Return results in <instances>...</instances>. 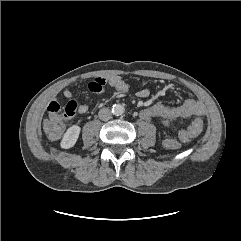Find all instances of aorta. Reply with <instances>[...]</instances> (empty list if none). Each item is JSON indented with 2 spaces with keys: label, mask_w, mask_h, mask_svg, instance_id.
Masks as SVG:
<instances>
[{
  "label": "aorta",
  "mask_w": 241,
  "mask_h": 241,
  "mask_svg": "<svg viewBox=\"0 0 241 241\" xmlns=\"http://www.w3.org/2000/svg\"><path fill=\"white\" fill-rule=\"evenodd\" d=\"M125 109L121 104H115L112 107V113L116 116L122 115Z\"/></svg>",
  "instance_id": "1"
}]
</instances>
